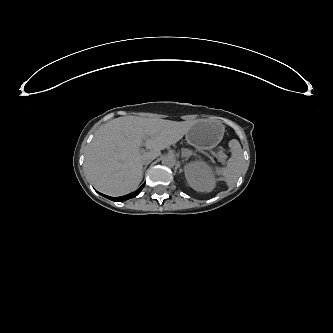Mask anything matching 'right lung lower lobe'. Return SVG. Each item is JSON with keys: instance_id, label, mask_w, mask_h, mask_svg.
<instances>
[{"instance_id": "1", "label": "right lung lower lobe", "mask_w": 333, "mask_h": 333, "mask_svg": "<svg viewBox=\"0 0 333 333\" xmlns=\"http://www.w3.org/2000/svg\"><path fill=\"white\" fill-rule=\"evenodd\" d=\"M144 187V185H142L139 189H137L135 192L129 194V195H126V196H133V195H137L141 190L142 188ZM121 198H125V196L121 197Z\"/></svg>"}]
</instances>
